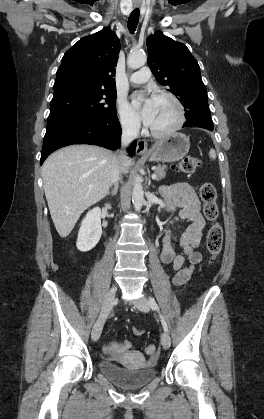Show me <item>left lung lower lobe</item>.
I'll list each match as a JSON object with an SVG mask.
<instances>
[{
  "label": "left lung lower lobe",
  "mask_w": 264,
  "mask_h": 419,
  "mask_svg": "<svg viewBox=\"0 0 264 419\" xmlns=\"http://www.w3.org/2000/svg\"><path fill=\"white\" fill-rule=\"evenodd\" d=\"M185 112L186 122L183 127H201L210 131L213 130V121L208 103L199 107V110H187Z\"/></svg>",
  "instance_id": "left-lung-lower-lobe-1"
}]
</instances>
